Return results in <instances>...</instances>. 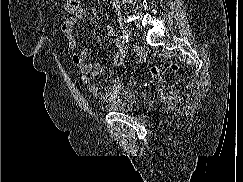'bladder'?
<instances>
[{
    "label": "bladder",
    "mask_w": 243,
    "mask_h": 182,
    "mask_svg": "<svg viewBox=\"0 0 243 182\" xmlns=\"http://www.w3.org/2000/svg\"><path fill=\"white\" fill-rule=\"evenodd\" d=\"M146 104V95L136 91H126L124 95L99 108L107 112L129 113L141 109Z\"/></svg>",
    "instance_id": "obj_1"
}]
</instances>
